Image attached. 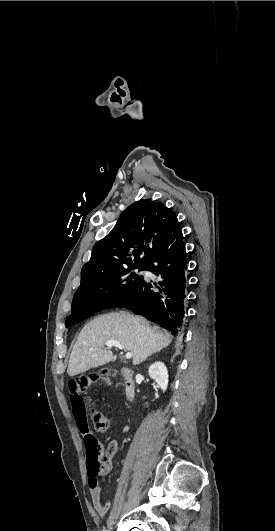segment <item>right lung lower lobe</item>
Wrapping results in <instances>:
<instances>
[{
    "mask_svg": "<svg viewBox=\"0 0 275 531\" xmlns=\"http://www.w3.org/2000/svg\"><path fill=\"white\" fill-rule=\"evenodd\" d=\"M186 252L180 226L162 243L146 266L161 280L144 279L130 297L118 307L132 310L148 320L163 325L173 335L183 329L186 288Z\"/></svg>",
    "mask_w": 275,
    "mask_h": 531,
    "instance_id": "right-lung-lower-lobe-1",
    "label": "right lung lower lobe"
}]
</instances>
